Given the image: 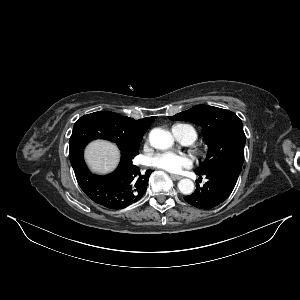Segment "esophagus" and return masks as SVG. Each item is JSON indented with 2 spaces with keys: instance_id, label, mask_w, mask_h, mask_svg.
I'll return each instance as SVG.
<instances>
[{
  "instance_id": "esophagus-1",
  "label": "esophagus",
  "mask_w": 300,
  "mask_h": 300,
  "mask_svg": "<svg viewBox=\"0 0 300 300\" xmlns=\"http://www.w3.org/2000/svg\"><path fill=\"white\" fill-rule=\"evenodd\" d=\"M171 177L174 180H180V179H182V176H180V175H171Z\"/></svg>"
}]
</instances>
